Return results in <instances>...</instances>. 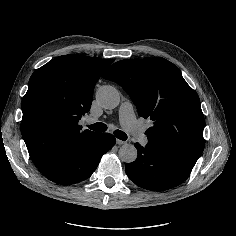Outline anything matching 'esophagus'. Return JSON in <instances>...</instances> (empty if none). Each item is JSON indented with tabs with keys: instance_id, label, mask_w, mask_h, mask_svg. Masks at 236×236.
<instances>
[{
	"instance_id": "esophagus-1",
	"label": "esophagus",
	"mask_w": 236,
	"mask_h": 236,
	"mask_svg": "<svg viewBox=\"0 0 236 236\" xmlns=\"http://www.w3.org/2000/svg\"><path fill=\"white\" fill-rule=\"evenodd\" d=\"M116 143H117L118 145H122V144H124L125 142L122 141V140H120V139H116Z\"/></svg>"
}]
</instances>
